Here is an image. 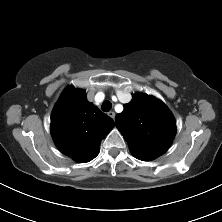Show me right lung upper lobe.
<instances>
[{
	"label": "right lung upper lobe",
	"instance_id": "obj_1",
	"mask_svg": "<svg viewBox=\"0 0 222 222\" xmlns=\"http://www.w3.org/2000/svg\"><path fill=\"white\" fill-rule=\"evenodd\" d=\"M114 121L87 100L84 90L67 87L51 117V134L58 149L76 162L94 159L101 140L113 129Z\"/></svg>",
	"mask_w": 222,
	"mask_h": 222
}]
</instances>
